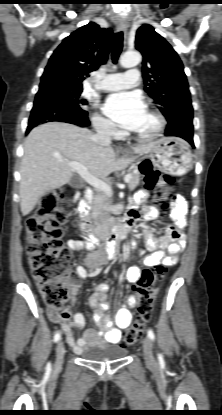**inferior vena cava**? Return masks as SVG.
<instances>
[{"instance_id": "inferior-vena-cava-1", "label": "inferior vena cava", "mask_w": 222, "mask_h": 415, "mask_svg": "<svg viewBox=\"0 0 222 415\" xmlns=\"http://www.w3.org/2000/svg\"><path fill=\"white\" fill-rule=\"evenodd\" d=\"M114 131V127L110 123H102L96 126V135L92 136V140L102 146H107L111 144V138ZM93 217L98 221V223H103L106 218V206L104 204V199L101 195H96L93 201ZM98 254L105 257L107 255L105 249L98 251Z\"/></svg>"}]
</instances>
